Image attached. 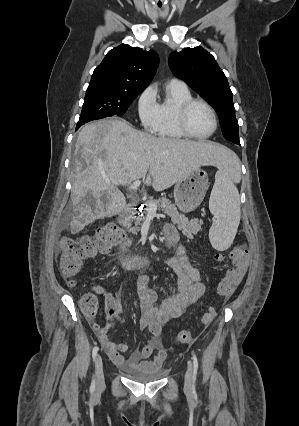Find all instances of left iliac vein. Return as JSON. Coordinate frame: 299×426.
<instances>
[{
    "label": "left iliac vein",
    "mask_w": 299,
    "mask_h": 426,
    "mask_svg": "<svg viewBox=\"0 0 299 426\" xmlns=\"http://www.w3.org/2000/svg\"><path fill=\"white\" fill-rule=\"evenodd\" d=\"M192 363L191 361H189L188 363V368L187 371L185 373V380H184V384L185 387L188 389L191 387V382H192Z\"/></svg>",
    "instance_id": "obj_1"
}]
</instances>
